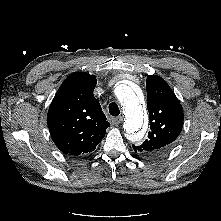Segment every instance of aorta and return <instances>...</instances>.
<instances>
[{
	"label": "aorta",
	"instance_id": "1",
	"mask_svg": "<svg viewBox=\"0 0 221 221\" xmlns=\"http://www.w3.org/2000/svg\"><path fill=\"white\" fill-rule=\"evenodd\" d=\"M115 93L124 111V131L128 139L141 140L148 124L146 108L132 88L125 84L119 85Z\"/></svg>",
	"mask_w": 221,
	"mask_h": 221
}]
</instances>
